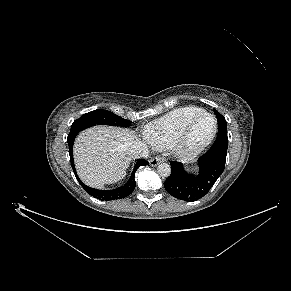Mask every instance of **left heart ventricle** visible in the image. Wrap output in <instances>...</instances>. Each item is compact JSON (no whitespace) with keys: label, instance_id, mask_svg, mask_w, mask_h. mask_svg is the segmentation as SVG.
Listing matches in <instances>:
<instances>
[{"label":"left heart ventricle","instance_id":"obj_1","mask_svg":"<svg viewBox=\"0 0 291 291\" xmlns=\"http://www.w3.org/2000/svg\"><path fill=\"white\" fill-rule=\"evenodd\" d=\"M214 127V121L211 117L202 118L193 128L190 134V143L197 145L202 143L211 134Z\"/></svg>","mask_w":291,"mask_h":291}]
</instances>
